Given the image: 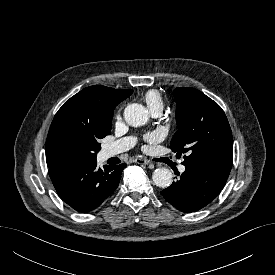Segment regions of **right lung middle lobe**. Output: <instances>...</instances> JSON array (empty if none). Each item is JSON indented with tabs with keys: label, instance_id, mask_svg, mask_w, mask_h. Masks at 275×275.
I'll use <instances>...</instances> for the list:
<instances>
[{
	"label": "right lung middle lobe",
	"instance_id": "right-lung-middle-lobe-1",
	"mask_svg": "<svg viewBox=\"0 0 275 275\" xmlns=\"http://www.w3.org/2000/svg\"><path fill=\"white\" fill-rule=\"evenodd\" d=\"M111 133L65 130L59 133L51 146V158L57 166L83 165L96 161L100 151L99 139Z\"/></svg>",
	"mask_w": 275,
	"mask_h": 275
}]
</instances>
